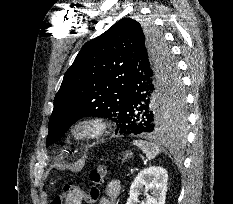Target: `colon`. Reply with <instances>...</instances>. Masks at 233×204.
<instances>
[{"label":"colon","instance_id":"1","mask_svg":"<svg viewBox=\"0 0 233 204\" xmlns=\"http://www.w3.org/2000/svg\"><path fill=\"white\" fill-rule=\"evenodd\" d=\"M105 176L106 166H98L89 174L91 181L89 192L71 183H66L63 186L62 193L54 198L52 204H83L86 199L90 201L96 200L99 196V186L103 183Z\"/></svg>","mask_w":233,"mask_h":204}]
</instances>
